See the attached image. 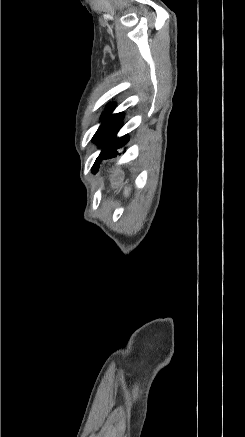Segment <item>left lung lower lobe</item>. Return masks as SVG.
Masks as SVG:
<instances>
[{
	"label": "left lung lower lobe",
	"mask_w": 245,
	"mask_h": 437,
	"mask_svg": "<svg viewBox=\"0 0 245 437\" xmlns=\"http://www.w3.org/2000/svg\"><path fill=\"white\" fill-rule=\"evenodd\" d=\"M122 121L123 119L117 124V126L115 127V129L113 130L107 141L105 142L99 157L96 159L94 163V168H98L100 162L103 159L112 158L115 157L117 154H120L118 153V149L122 148L128 143L129 141L128 135H124L120 138L116 137L117 132L121 128Z\"/></svg>",
	"instance_id": "left-lung-lower-lobe-1"
}]
</instances>
